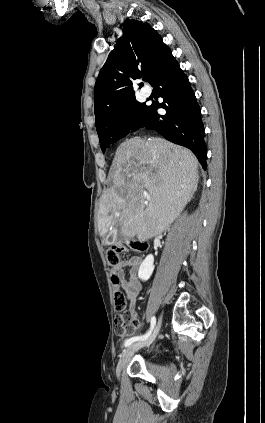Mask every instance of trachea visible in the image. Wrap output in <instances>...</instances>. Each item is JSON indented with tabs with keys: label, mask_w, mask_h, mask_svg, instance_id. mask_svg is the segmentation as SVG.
<instances>
[{
	"label": "trachea",
	"mask_w": 265,
	"mask_h": 423,
	"mask_svg": "<svg viewBox=\"0 0 265 423\" xmlns=\"http://www.w3.org/2000/svg\"><path fill=\"white\" fill-rule=\"evenodd\" d=\"M143 79H144V81H148V77L147 76H145Z\"/></svg>",
	"instance_id": "1"
}]
</instances>
